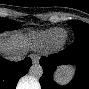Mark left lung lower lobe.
I'll use <instances>...</instances> for the list:
<instances>
[{"mask_svg": "<svg viewBox=\"0 0 89 89\" xmlns=\"http://www.w3.org/2000/svg\"><path fill=\"white\" fill-rule=\"evenodd\" d=\"M89 36H77L75 41L64 51L42 57L40 65L43 75L40 78L42 89H89ZM74 64L77 72L74 79L66 86H58L52 79L57 66Z\"/></svg>", "mask_w": 89, "mask_h": 89, "instance_id": "left-lung-lower-lobe-1", "label": "left lung lower lobe"}]
</instances>
